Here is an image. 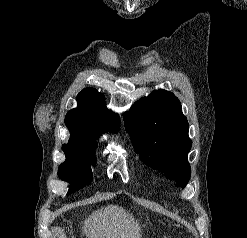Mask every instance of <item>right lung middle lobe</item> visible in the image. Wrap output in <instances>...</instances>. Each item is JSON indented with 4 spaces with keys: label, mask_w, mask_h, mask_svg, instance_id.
<instances>
[{
    "label": "right lung middle lobe",
    "mask_w": 247,
    "mask_h": 238,
    "mask_svg": "<svg viewBox=\"0 0 247 238\" xmlns=\"http://www.w3.org/2000/svg\"><path fill=\"white\" fill-rule=\"evenodd\" d=\"M62 149L66 160L59 166L58 176L71 184L68 193H73L92 180L90 166L95 146L69 142Z\"/></svg>",
    "instance_id": "obj_1"
}]
</instances>
